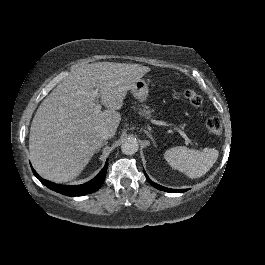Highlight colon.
<instances>
[{"mask_svg": "<svg viewBox=\"0 0 265 265\" xmlns=\"http://www.w3.org/2000/svg\"><path fill=\"white\" fill-rule=\"evenodd\" d=\"M184 97L186 100L194 107L200 108L202 105V97L194 90L187 89L184 92ZM207 130L214 135H219L222 130V125L216 116H211L206 121Z\"/></svg>", "mask_w": 265, "mask_h": 265, "instance_id": "colon-1", "label": "colon"}]
</instances>
